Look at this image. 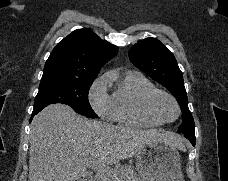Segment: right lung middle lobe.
Wrapping results in <instances>:
<instances>
[{"label":"right lung middle lobe","mask_w":228,"mask_h":181,"mask_svg":"<svg viewBox=\"0 0 228 181\" xmlns=\"http://www.w3.org/2000/svg\"><path fill=\"white\" fill-rule=\"evenodd\" d=\"M94 80H67L42 77L33 111L40 112L49 104L62 103L89 118H97L88 101V92Z\"/></svg>","instance_id":"1"}]
</instances>
